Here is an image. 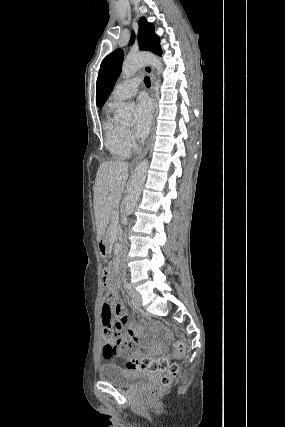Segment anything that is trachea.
<instances>
[{
	"label": "trachea",
	"instance_id": "3493384b",
	"mask_svg": "<svg viewBox=\"0 0 285 427\" xmlns=\"http://www.w3.org/2000/svg\"><path fill=\"white\" fill-rule=\"evenodd\" d=\"M144 83H145L146 87H150L151 82H150V78H149L148 76H146V77L144 78Z\"/></svg>",
	"mask_w": 285,
	"mask_h": 427
}]
</instances>
